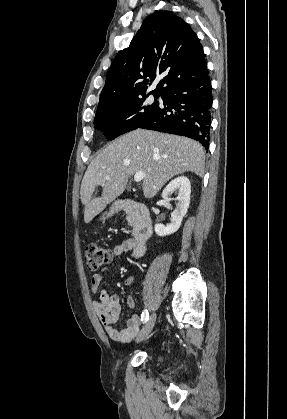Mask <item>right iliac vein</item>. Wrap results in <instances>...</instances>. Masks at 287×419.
<instances>
[{
    "mask_svg": "<svg viewBox=\"0 0 287 419\" xmlns=\"http://www.w3.org/2000/svg\"><path fill=\"white\" fill-rule=\"evenodd\" d=\"M156 322V314L153 313L150 318L148 319L146 325L144 326V328L141 330V332L139 333L138 337H137V342H140L142 340H144L152 331L154 325Z\"/></svg>",
    "mask_w": 287,
    "mask_h": 419,
    "instance_id": "obj_1",
    "label": "right iliac vein"
}]
</instances>
